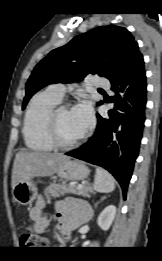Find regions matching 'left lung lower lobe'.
<instances>
[{
    "instance_id": "1",
    "label": "left lung lower lobe",
    "mask_w": 162,
    "mask_h": 261,
    "mask_svg": "<svg viewBox=\"0 0 162 261\" xmlns=\"http://www.w3.org/2000/svg\"><path fill=\"white\" fill-rule=\"evenodd\" d=\"M111 84L115 96L110 101L115 105L108 112L109 118L97 114L94 135L81 148L66 155L108 170L121 185L126 198L145 122L147 83L144 60L141 59Z\"/></svg>"
}]
</instances>
